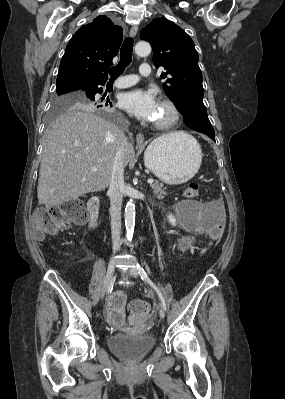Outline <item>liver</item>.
Returning <instances> with one entry per match:
<instances>
[{
	"mask_svg": "<svg viewBox=\"0 0 285 399\" xmlns=\"http://www.w3.org/2000/svg\"><path fill=\"white\" fill-rule=\"evenodd\" d=\"M174 132L163 138L181 139ZM123 132L91 111L70 109L49 127L37 187L40 205L52 207L107 188ZM133 153L126 145L125 165ZM95 167L97 171L91 169Z\"/></svg>",
	"mask_w": 285,
	"mask_h": 399,
	"instance_id": "6515ba94",
	"label": "liver"
}]
</instances>
